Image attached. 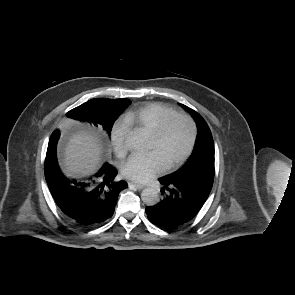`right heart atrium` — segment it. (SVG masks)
Masks as SVG:
<instances>
[{"instance_id":"right-heart-atrium-1","label":"right heart atrium","mask_w":295,"mask_h":295,"mask_svg":"<svg viewBox=\"0 0 295 295\" xmlns=\"http://www.w3.org/2000/svg\"><path fill=\"white\" fill-rule=\"evenodd\" d=\"M128 128L125 123L115 122L111 128L110 140L112 148L118 157H123L127 152L126 136Z\"/></svg>"}]
</instances>
